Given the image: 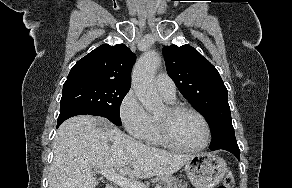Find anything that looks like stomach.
Masks as SVG:
<instances>
[{"label": "stomach", "instance_id": "0dacf381", "mask_svg": "<svg viewBox=\"0 0 292 188\" xmlns=\"http://www.w3.org/2000/svg\"><path fill=\"white\" fill-rule=\"evenodd\" d=\"M227 170L224 159L207 152L193 155L184 166V171L195 188H214L222 181Z\"/></svg>", "mask_w": 292, "mask_h": 188}]
</instances>
